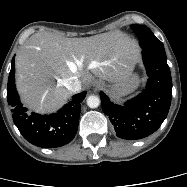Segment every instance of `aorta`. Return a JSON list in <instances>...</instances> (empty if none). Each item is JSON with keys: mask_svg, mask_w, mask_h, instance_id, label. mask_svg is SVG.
<instances>
[{"mask_svg": "<svg viewBox=\"0 0 187 187\" xmlns=\"http://www.w3.org/2000/svg\"><path fill=\"white\" fill-rule=\"evenodd\" d=\"M87 105L90 108H97L100 105V98L98 96H95V95H90L87 98Z\"/></svg>", "mask_w": 187, "mask_h": 187, "instance_id": "obj_1", "label": "aorta"}]
</instances>
